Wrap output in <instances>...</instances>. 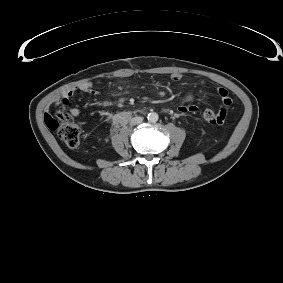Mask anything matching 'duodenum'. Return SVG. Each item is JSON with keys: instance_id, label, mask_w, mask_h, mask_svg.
Instances as JSON below:
<instances>
[{"instance_id": "duodenum-1", "label": "duodenum", "mask_w": 283, "mask_h": 283, "mask_svg": "<svg viewBox=\"0 0 283 283\" xmlns=\"http://www.w3.org/2000/svg\"><path fill=\"white\" fill-rule=\"evenodd\" d=\"M132 112H123L120 115H118V123L119 125H124L128 120H130L133 117Z\"/></svg>"}]
</instances>
